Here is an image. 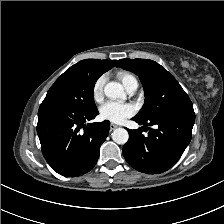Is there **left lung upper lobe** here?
Here are the masks:
<instances>
[{
	"mask_svg": "<svg viewBox=\"0 0 224 224\" xmlns=\"http://www.w3.org/2000/svg\"><path fill=\"white\" fill-rule=\"evenodd\" d=\"M117 67L139 76L144 92L145 104L135 116L150 121L178 110H193L187 93L176 79L160 64L148 59H120Z\"/></svg>",
	"mask_w": 224,
	"mask_h": 224,
	"instance_id": "5c2ea615",
	"label": "left lung upper lobe"
}]
</instances>
